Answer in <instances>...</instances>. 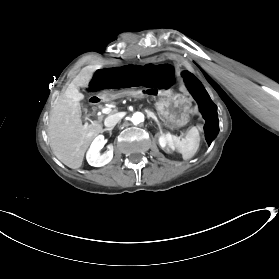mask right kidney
Segmentation results:
<instances>
[{
	"mask_svg": "<svg viewBox=\"0 0 279 279\" xmlns=\"http://www.w3.org/2000/svg\"><path fill=\"white\" fill-rule=\"evenodd\" d=\"M104 145L105 142L103 136H98L95 138L86 155L89 165L101 167L108 164L112 160L114 154V147L112 143L107 145L106 153L103 155L98 154L99 150H101Z\"/></svg>",
	"mask_w": 279,
	"mask_h": 279,
	"instance_id": "right-kidney-1",
	"label": "right kidney"
}]
</instances>
